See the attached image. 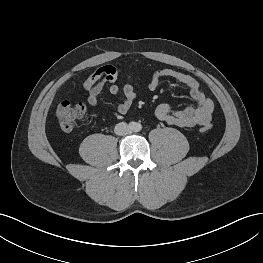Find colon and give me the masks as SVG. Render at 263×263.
<instances>
[{
  "label": "colon",
  "instance_id": "obj_1",
  "mask_svg": "<svg viewBox=\"0 0 263 263\" xmlns=\"http://www.w3.org/2000/svg\"><path fill=\"white\" fill-rule=\"evenodd\" d=\"M108 77L116 79L117 72L115 70L111 71ZM85 110V105L81 102L62 101L59 103L56 109V116L60 128L64 131L73 130L76 127L78 121L85 114ZM210 130V125H205L201 129L202 132H208Z\"/></svg>",
  "mask_w": 263,
  "mask_h": 263
}]
</instances>
